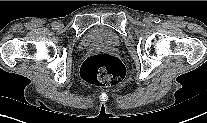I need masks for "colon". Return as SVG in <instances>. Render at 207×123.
<instances>
[{"label":"colon","mask_w":207,"mask_h":123,"mask_svg":"<svg viewBox=\"0 0 207 123\" xmlns=\"http://www.w3.org/2000/svg\"><path fill=\"white\" fill-rule=\"evenodd\" d=\"M82 78L99 86H116L127 77L123 63L115 56L100 53L88 57L81 66Z\"/></svg>","instance_id":"1"}]
</instances>
